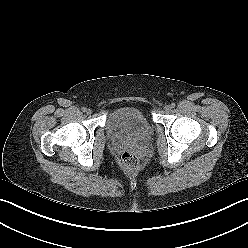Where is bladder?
I'll return each instance as SVG.
<instances>
[{
	"label": "bladder",
	"mask_w": 248,
	"mask_h": 248,
	"mask_svg": "<svg viewBox=\"0 0 248 248\" xmlns=\"http://www.w3.org/2000/svg\"><path fill=\"white\" fill-rule=\"evenodd\" d=\"M107 134L115 139H142L150 134L152 125L146 114L137 108L122 107L113 111L105 124Z\"/></svg>",
	"instance_id": "obj_1"
}]
</instances>
